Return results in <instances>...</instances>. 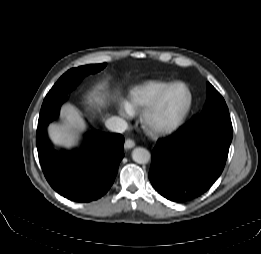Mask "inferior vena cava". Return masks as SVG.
I'll return each mask as SVG.
<instances>
[{
  "instance_id": "inferior-vena-cava-1",
  "label": "inferior vena cava",
  "mask_w": 261,
  "mask_h": 254,
  "mask_svg": "<svg viewBox=\"0 0 261 254\" xmlns=\"http://www.w3.org/2000/svg\"><path fill=\"white\" fill-rule=\"evenodd\" d=\"M105 125L109 130L117 133H123L128 128L127 122L117 116L108 118Z\"/></svg>"
}]
</instances>
